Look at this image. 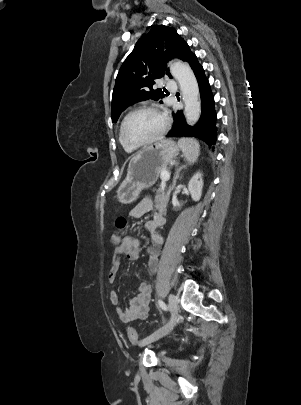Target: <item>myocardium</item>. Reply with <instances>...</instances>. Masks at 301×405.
I'll return each instance as SVG.
<instances>
[{"label":"myocardium","mask_w":301,"mask_h":405,"mask_svg":"<svg viewBox=\"0 0 301 405\" xmlns=\"http://www.w3.org/2000/svg\"><path fill=\"white\" fill-rule=\"evenodd\" d=\"M141 111H152V112H155V113L159 114L163 119V126H162V129L160 130V132L156 136H154L153 138H151L149 140H146V141H143V142H134V141L130 140L126 135V125H127L128 120L134 114H136L138 112H141ZM169 127H170V119H169L168 115L165 112H163L161 109H159L158 107H156L154 105H142V106L136 107L135 109L131 110L124 117V119H123V121L121 123V126H120V135H121V138H122L123 142L126 145H128V146H130V147H132L134 149H137V148H141V147H144V146L151 145V144L159 141L160 139H162L165 136V134L167 133Z\"/></svg>","instance_id":"obj_1"}]
</instances>
